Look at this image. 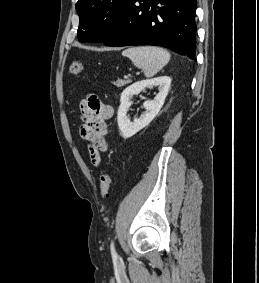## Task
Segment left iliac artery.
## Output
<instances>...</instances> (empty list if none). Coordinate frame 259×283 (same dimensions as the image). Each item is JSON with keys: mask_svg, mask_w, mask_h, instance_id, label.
I'll list each match as a JSON object with an SVG mask.
<instances>
[{"mask_svg": "<svg viewBox=\"0 0 259 283\" xmlns=\"http://www.w3.org/2000/svg\"><path fill=\"white\" fill-rule=\"evenodd\" d=\"M110 248H111V254H112V256L116 257V256H117V253H116V251H115V247H114V242H113V241L111 242Z\"/></svg>", "mask_w": 259, "mask_h": 283, "instance_id": "44dca946", "label": "left iliac artery"}]
</instances>
